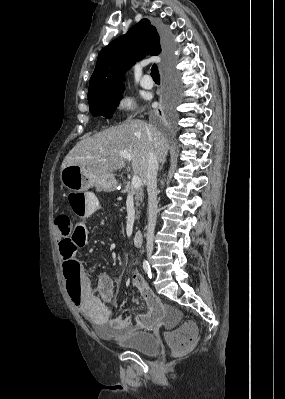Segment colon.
I'll return each instance as SVG.
<instances>
[{
    "instance_id": "obj_1",
    "label": "colon",
    "mask_w": 285,
    "mask_h": 399,
    "mask_svg": "<svg viewBox=\"0 0 285 399\" xmlns=\"http://www.w3.org/2000/svg\"><path fill=\"white\" fill-rule=\"evenodd\" d=\"M87 201V193L71 194L69 203L76 214H81ZM55 224L63 231V238L59 242L60 257L63 261L64 276L69 279L68 292L75 301L78 300L79 287L74 274L71 272L75 261L76 251L88 241L90 234L83 222L73 221L66 213H59ZM166 338L174 356L188 353L198 339L197 328L192 323H185L166 334Z\"/></svg>"
}]
</instances>
